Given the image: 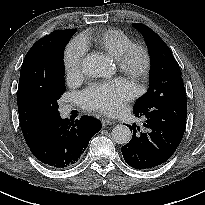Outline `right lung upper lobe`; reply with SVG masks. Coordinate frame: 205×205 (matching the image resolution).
Returning <instances> with one entry per match:
<instances>
[{
    "label": "right lung upper lobe",
    "instance_id": "1",
    "mask_svg": "<svg viewBox=\"0 0 205 205\" xmlns=\"http://www.w3.org/2000/svg\"><path fill=\"white\" fill-rule=\"evenodd\" d=\"M76 29L56 30L34 43L25 56L17 92L19 121L27 145L39 131L54 118L47 116L33 98L34 89L45 77L47 65L57 42L65 35L75 34Z\"/></svg>",
    "mask_w": 205,
    "mask_h": 205
}]
</instances>
